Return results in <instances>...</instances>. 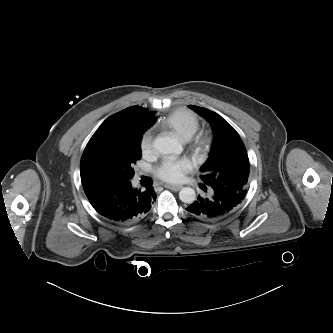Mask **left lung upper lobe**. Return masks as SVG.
I'll list each match as a JSON object with an SVG mask.
<instances>
[{
    "mask_svg": "<svg viewBox=\"0 0 333 333\" xmlns=\"http://www.w3.org/2000/svg\"><path fill=\"white\" fill-rule=\"evenodd\" d=\"M189 107L205 118L214 132L209 157L200 168V178L208 186L228 187L243 200L248 185L249 159L240 136L218 114L195 105Z\"/></svg>",
    "mask_w": 333,
    "mask_h": 333,
    "instance_id": "left-lung-upper-lobe-1",
    "label": "left lung upper lobe"
}]
</instances>
